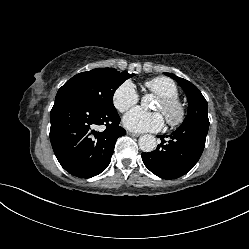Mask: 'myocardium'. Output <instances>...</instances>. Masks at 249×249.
I'll return each mask as SVG.
<instances>
[{
	"label": "myocardium",
	"mask_w": 249,
	"mask_h": 249,
	"mask_svg": "<svg viewBox=\"0 0 249 249\" xmlns=\"http://www.w3.org/2000/svg\"><path fill=\"white\" fill-rule=\"evenodd\" d=\"M162 105L161 112L165 116L166 122L171 127L180 126L186 118V108L177 98L160 97Z\"/></svg>",
	"instance_id": "myocardium-1"
}]
</instances>
